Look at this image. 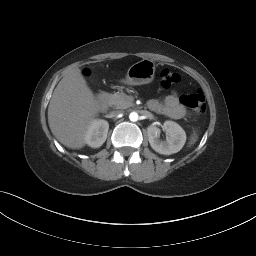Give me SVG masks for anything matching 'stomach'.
<instances>
[{"label": "stomach", "instance_id": "0dacf381", "mask_svg": "<svg viewBox=\"0 0 256 256\" xmlns=\"http://www.w3.org/2000/svg\"><path fill=\"white\" fill-rule=\"evenodd\" d=\"M155 64L149 59H143L129 67L122 83L127 85H143L153 81Z\"/></svg>", "mask_w": 256, "mask_h": 256}]
</instances>
